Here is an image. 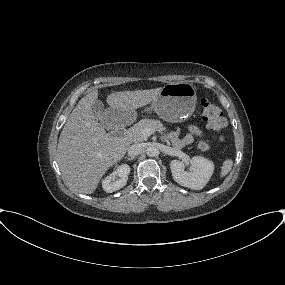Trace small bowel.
<instances>
[{"label":"small bowel","instance_id":"c3829d8e","mask_svg":"<svg viewBox=\"0 0 285 285\" xmlns=\"http://www.w3.org/2000/svg\"><path fill=\"white\" fill-rule=\"evenodd\" d=\"M202 136V130L196 125H191L189 132L180 137L178 130H172L168 133V138L176 148H183L191 144L195 138Z\"/></svg>","mask_w":285,"mask_h":285}]
</instances>
